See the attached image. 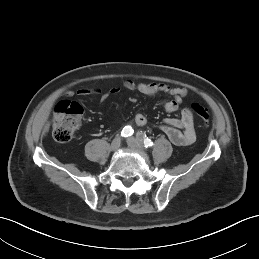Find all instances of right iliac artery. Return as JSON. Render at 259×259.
Here are the masks:
<instances>
[{"instance_id":"right-iliac-artery-1","label":"right iliac artery","mask_w":259,"mask_h":259,"mask_svg":"<svg viewBox=\"0 0 259 259\" xmlns=\"http://www.w3.org/2000/svg\"><path fill=\"white\" fill-rule=\"evenodd\" d=\"M134 130L132 129L131 126H125L121 132L122 137H128L133 134Z\"/></svg>"}]
</instances>
